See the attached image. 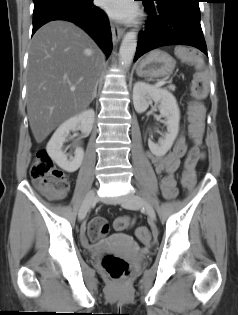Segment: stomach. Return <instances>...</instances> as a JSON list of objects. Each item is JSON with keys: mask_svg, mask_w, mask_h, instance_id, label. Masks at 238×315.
I'll return each instance as SVG.
<instances>
[{"mask_svg": "<svg viewBox=\"0 0 238 315\" xmlns=\"http://www.w3.org/2000/svg\"><path fill=\"white\" fill-rule=\"evenodd\" d=\"M175 60L167 52L156 49L146 55L137 65L136 73L141 77L161 78L170 75Z\"/></svg>", "mask_w": 238, "mask_h": 315, "instance_id": "obj_1", "label": "stomach"}]
</instances>
